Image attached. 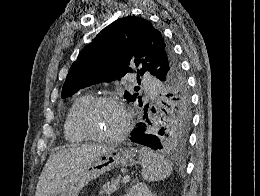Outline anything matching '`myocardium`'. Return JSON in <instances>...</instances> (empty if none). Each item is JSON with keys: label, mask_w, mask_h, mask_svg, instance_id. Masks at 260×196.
Listing matches in <instances>:
<instances>
[{"label": "myocardium", "mask_w": 260, "mask_h": 196, "mask_svg": "<svg viewBox=\"0 0 260 196\" xmlns=\"http://www.w3.org/2000/svg\"><path fill=\"white\" fill-rule=\"evenodd\" d=\"M103 103L115 104L119 106L124 114V124L120 130L114 134L98 135L91 132L85 126V117L96 106ZM132 113L127 103L115 95H99L92 97L77 113L76 126L79 132L87 139L96 142H117L123 140L129 133L132 126Z\"/></svg>", "instance_id": "1"}]
</instances>
